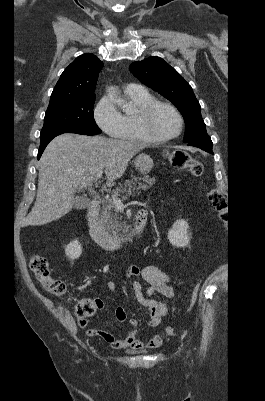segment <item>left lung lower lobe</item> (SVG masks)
<instances>
[{"label":"left lung lower lobe","mask_w":265,"mask_h":401,"mask_svg":"<svg viewBox=\"0 0 265 401\" xmlns=\"http://www.w3.org/2000/svg\"><path fill=\"white\" fill-rule=\"evenodd\" d=\"M188 145L198 147L204 151H207V152L213 154L212 141L208 135L205 137L193 140L191 142H188Z\"/></svg>","instance_id":"0a47b994"}]
</instances>
